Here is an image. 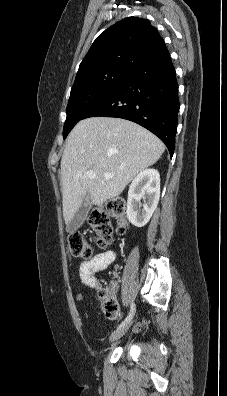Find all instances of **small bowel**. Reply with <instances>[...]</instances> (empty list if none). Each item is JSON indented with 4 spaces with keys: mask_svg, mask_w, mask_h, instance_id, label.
Returning a JSON list of instances; mask_svg holds the SVG:
<instances>
[{
    "mask_svg": "<svg viewBox=\"0 0 227 396\" xmlns=\"http://www.w3.org/2000/svg\"><path fill=\"white\" fill-rule=\"evenodd\" d=\"M115 257L116 254L109 250L82 261L79 266V274L83 284L90 288H94L97 282L95 277L96 273L105 270L115 260ZM110 290L113 294H116L118 290L117 283H112Z\"/></svg>",
    "mask_w": 227,
    "mask_h": 396,
    "instance_id": "1",
    "label": "small bowel"
}]
</instances>
